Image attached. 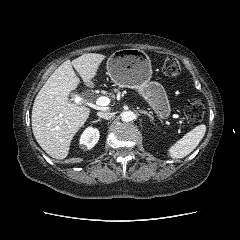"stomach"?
<instances>
[{
  "instance_id": "1",
  "label": "stomach",
  "mask_w": 240,
  "mask_h": 240,
  "mask_svg": "<svg viewBox=\"0 0 240 240\" xmlns=\"http://www.w3.org/2000/svg\"><path fill=\"white\" fill-rule=\"evenodd\" d=\"M107 72L116 85L139 91L158 117L164 119L170 115L166 91L160 83L151 81V60L142 50L127 48L115 51L107 61Z\"/></svg>"
}]
</instances>
